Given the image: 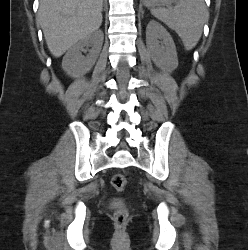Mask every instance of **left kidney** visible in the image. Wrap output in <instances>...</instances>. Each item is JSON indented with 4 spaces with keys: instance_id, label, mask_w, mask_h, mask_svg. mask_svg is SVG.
<instances>
[{
    "instance_id": "1",
    "label": "left kidney",
    "mask_w": 248,
    "mask_h": 250,
    "mask_svg": "<svg viewBox=\"0 0 248 250\" xmlns=\"http://www.w3.org/2000/svg\"><path fill=\"white\" fill-rule=\"evenodd\" d=\"M162 40L163 45H160ZM146 45L154 64L165 73L178 67L176 47L171 35L157 21L151 20L146 28Z\"/></svg>"
}]
</instances>
